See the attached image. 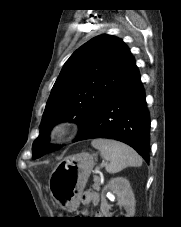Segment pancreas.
<instances>
[{"instance_id": "obj_1", "label": "pancreas", "mask_w": 181, "mask_h": 227, "mask_svg": "<svg viewBox=\"0 0 181 227\" xmlns=\"http://www.w3.org/2000/svg\"><path fill=\"white\" fill-rule=\"evenodd\" d=\"M97 178V180H94V184L92 185V188L96 191L100 190V183H99V177L95 176Z\"/></svg>"}]
</instances>
